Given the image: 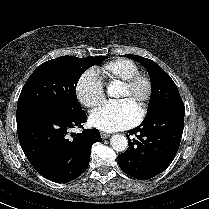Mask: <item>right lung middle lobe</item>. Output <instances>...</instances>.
Returning <instances> with one entry per match:
<instances>
[{
	"mask_svg": "<svg viewBox=\"0 0 209 209\" xmlns=\"http://www.w3.org/2000/svg\"><path fill=\"white\" fill-rule=\"evenodd\" d=\"M107 56L77 58L61 56L42 63L28 78L20 93L16 121L50 109H82L76 96L79 78Z\"/></svg>",
	"mask_w": 209,
	"mask_h": 209,
	"instance_id": "right-lung-middle-lobe-1",
	"label": "right lung middle lobe"
}]
</instances>
